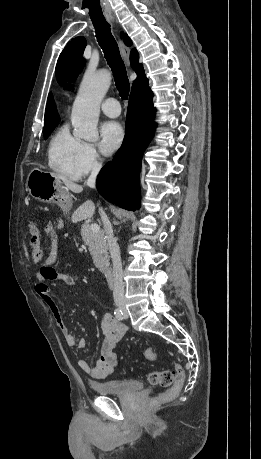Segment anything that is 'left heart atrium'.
Segmentation results:
<instances>
[{
	"label": "left heart atrium",
	"instance_id": "left-heart-atrium-1",
	"mask_svg": "<svg viewBox=\"0 0 261 459\" xmlns=\"http://www.w3.org/2000/svg\"><path fill=\"white\" fill-rule=\"evenodd\" d=\"M123 139L124 130L118 122L107 121L102 124L100 128V146L105 155L113 154L121 146Z\"/></svg>",
	"mask_w": 261,
	"mask_h": 459
}]
</instances>
